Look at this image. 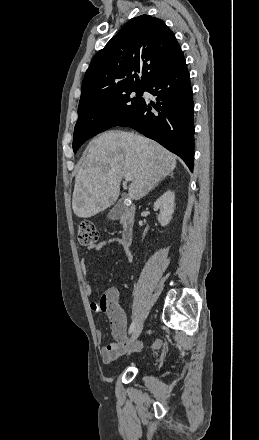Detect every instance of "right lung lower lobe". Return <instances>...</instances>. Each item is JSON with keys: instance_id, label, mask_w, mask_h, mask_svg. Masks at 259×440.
Instances as JSON below:
<instances>
[{"instance_id": "obj_1", "label": "right lung lower lobe", "mask_w": 259, "mask_h": 440, "mask_svg": "<svg viewBox=\"0 0 259 440\" xmlns=\"http://www.w3.org/2000/svg\"><path fill=\"white\" fill-rule=\"evenodd\" d=\"M146 91L157 104L143 100L139 109L118 126L131 127L181 157L189 169L194 162L193 98L184 55L161 70ZM154 107L158 113H152Z\"/></svg>"}]
</instances>
